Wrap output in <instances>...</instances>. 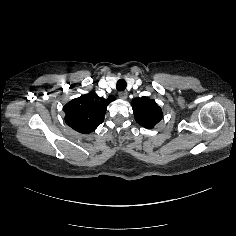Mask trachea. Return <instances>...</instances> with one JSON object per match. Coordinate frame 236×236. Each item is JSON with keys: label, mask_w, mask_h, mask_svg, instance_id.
Listing matches in <instances>:
<instances>
[{"label": "trachea", "mask_w": 236, "mask_h": 236, "mask_svg": "<svg viewBox=\"0 0 236 236\" xmlns=\"http://www.w3.org/2000/svg\"><path fill=\"white\" fill-rule=\"evenodd\" d=\"M126 85V81L124 79H120L116 85L117 91H124L126 89Z\"/></svg>", "instance_id": "obj_1"}]
</instances>
